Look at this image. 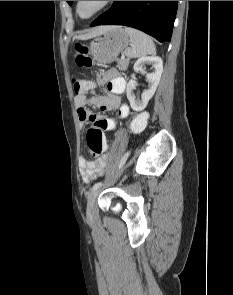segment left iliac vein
Masks as SVG:
<instances>
[{
	"instance_id": "4c4485c4",
	"label": "left iliac vein",
	"mask_w": 233,
	"mask_h": 295,
	"mask_svg": "<svg viewBox=\"0 0 233 295\" xmlns=\"http://www.w3.org/2000/svg\"><path fill=\"white\" fill-rule=\"evenodd\" d=\"M100 190L99 188L96 190H92L87 198V208H86V213H87V217L91 218L93 216V212H94V203L95 200L99 194Z\"/></svg>"
}]
</instances>
